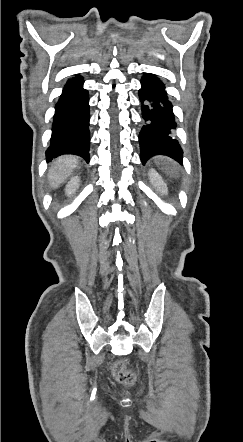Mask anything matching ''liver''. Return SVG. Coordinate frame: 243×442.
<instances>
[{"label": "liver", "instance_id": "1", "mask_svg": "<svg viewBox=\"0 0 243 442\" xmlns=\"http://www.w3.org/2000/svg\"><path fill=\"white\" fill-rule=\"evenodd\" d=\"M78 164L77 157L66 155L57 158L51 163L48 173L49 184L52 188H58L73 172Z\"/></svg>", "mask_w": 243, "mask_h": 442}]
</instances>
